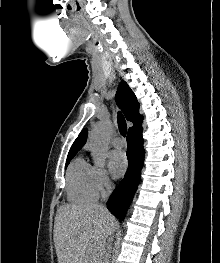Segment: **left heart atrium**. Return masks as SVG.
I'll return each mask as SVG.
<instances>
[{
  "mask_svg": "<svg viewBox=\"0 0 220 263\" xmlns=\"http://www.w3.org/2000/svg\"><path fill=\"white\" fill-rule=\"evenodd\" d=\"M109 167L114 177L123 175L127 168V158L121 150H114L109 154Z\"/></svg>",
  "mask_w": 220,
  "mask_h": 263,
  "instance_id": "1",
  "label": "left heart atrium"
}]
</instances>
